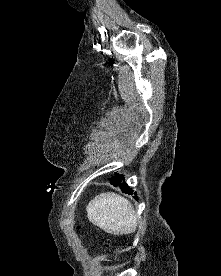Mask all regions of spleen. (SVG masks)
<instances>
[{
  "label": "spleen",
  "instance_id": "1",
  "mask_svg": "<svg viewBox=\"0 0 221 276\" xmlns=\"http://www.w3.org/2000/svg\"><path fill=\"white\" fill-rule=\"evenodd\" d=\"M87 213L93 225L112 235H127L137 228L133 205L113 192L101 193L91 200Z\"/></svg>",
  "mask_w": 221,
  "mask_h": 276
}]
</instances>
